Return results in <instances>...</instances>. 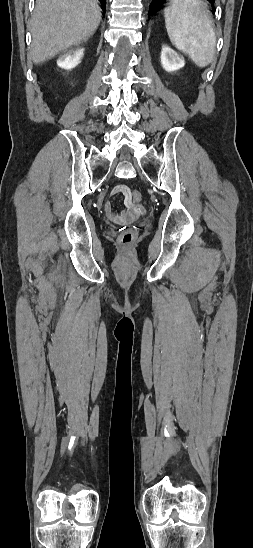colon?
Here are the masks:
<instances>
[{
  "label": "colon",
  "mask_w": 253,
  "mask_h": 548,
  "mask_svg": "<svg viewBox=\"0 0 253 548\" xmlns=\"http://www.w3.org/2000/svg\"><path fill=\"white\" fill-rule=\"evenodd\" d=\"M131 200L134 203H139L142 200V194L138 190H134L130 193ZM135 241V235L131 230H125L119 237V243L122 247L129 249L133 246Z\"/></svg>",
  "instance_id": "1"
}]
</instances>
